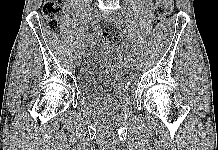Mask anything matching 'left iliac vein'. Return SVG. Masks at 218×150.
<instances>
[{
	"label": "left iliac vein",
	"instance_id": "1",
	"mask_svg": "<svg viewBox=\"0 0 218 150\" xmlns=\"http://www.w3.org/2000/svg\"><path fill=\"white\" fill-rule=\"evenodd\" d=\"M106 21H108L109 23H112L114 24L116 27H120L121 25V20L123 19L121 17V15L119 14H115V15H112V16H109L107 18H105ZM127 69H129L128 71L131 73L133 70H132V64H127Z\"/></svg>",
	"mask_w": 218,
	"mask_h": 150
}]
</instances>
